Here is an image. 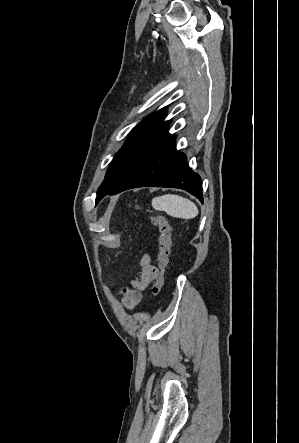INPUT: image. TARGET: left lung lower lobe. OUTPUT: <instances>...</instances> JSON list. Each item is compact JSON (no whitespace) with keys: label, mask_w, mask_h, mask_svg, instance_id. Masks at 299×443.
I'll return each instance as SVG.
<instances>
[{"label":"left lung lower lobe","mask_w":299,"mask_h":443,"mask_svg":"<svg viewBox=\"0 0 299 443\" xmlns=\"http://www.w3.org/2000/svg\"><path fill=\"white\" fill-rule=\"evenodd\" d=\"M175 139V136L167 137L153 148L112 188L104 191L96 204L107 194L143 186L179 188L203 201L201 178L189 168L186 156L176 150Z\"/></svg>","instance_id":"left-lung-lower-lobe-1"}]
</instances>
